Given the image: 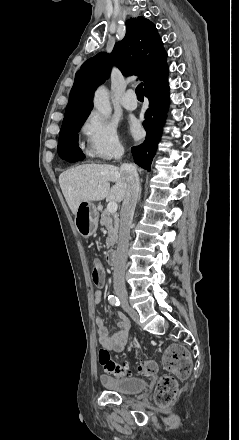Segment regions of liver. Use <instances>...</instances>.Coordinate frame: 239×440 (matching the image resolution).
<instances>
[{"label": "liver", "mask_w": 239, "mask_h": 440, "mask_svg": "<svg viewBox=\"0 0 239 440\" xmlns=\"http://www.w3.org/2000/svg\"><path fill=\"white\" fill-rule=\"evenodd\" d=\"M123 178V172L116 166L84 164L62 172L59 184L72 214H76L81 202H98L104 198L109 202H122L126 194ZM109 182L115 186L110 188Z\"/></svg>", "instance_id": "obj_1"}]
</instances>
